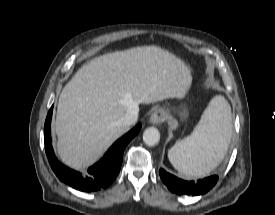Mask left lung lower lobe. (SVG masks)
I'll list each match as a JSON object with an SVG mask.
<instances>
[{"label":"left lung lower lobe","instance_id":"0a47b994","mask_svg":"<svg viewBox=\"0 0 275 215\" xmlns=\"http://www.w3.org/2000/svg\"><path fill=\"white\" fill-rule=\"evenodd\" d=\"M163 183L168 189L178 195H203L207 193L217 182L218 176L213 175L197 181H186L167 173L164 169L159 171Z\"/></svg>","mask_w":275,"mask_h":215}]
</instances>
